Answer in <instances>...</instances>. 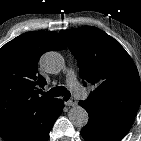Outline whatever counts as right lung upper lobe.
Wrapping results in <instances>:
<instances>
[{
	"label": "right lung upper lobe",
	"mask_w": 141,
	"mask_h": 141,
	"mask_svg": "<svg viewBox=\"0 0 141 141\" xmlns=\"http://www.w3.org/2000/svg\"><path fill=\"white\" fill-rule=\"evenodd\" d=\"M65 47L58 33L39 31L24 33L0 49V132L55 100L38 96L36 86L44 87L46 81L37 64L43 53Z\"/></svg>",
	"instance_id": "cb5924a9"
}]
</instances>
